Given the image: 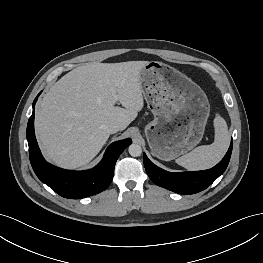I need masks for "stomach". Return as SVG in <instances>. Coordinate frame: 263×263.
<instances>
[{
	"instance_id": "1",
	"label": "stomach",
	"mask_w": 263,
	"mask_h": 263,
	"mask_svg": "<svg viewBox=\"0 0 263 263\" xmlns=\"http://www.w3.org/2000/svg\"><path fill=\"white\" fill-rule=\"evenodd\" d=\"M143 95L154 120L145 135L154 156L170 161L202 139L210 104L204 91L176 68L150 61L140 71Z\"/></svg>"
}]
</instances>
